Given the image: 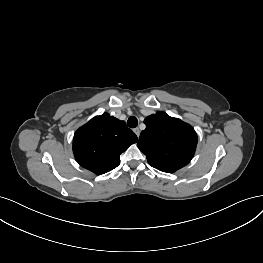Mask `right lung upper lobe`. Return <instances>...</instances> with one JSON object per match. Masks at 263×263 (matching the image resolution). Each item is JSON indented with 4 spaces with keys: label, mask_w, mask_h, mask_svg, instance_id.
Returning <instances> with one entry per match:
<instances>
[{
    "label": "right lung upper lobe",
    "mask_w": 263,
    "mask_h": 263,
    "mask_svg": "<svg viewBox=\"0 0 263 263\" xmlns=\"http://www.w3.org/2000/svg\"><path fill=\"white\" fill-rule=\"evenodd\" d=\"M137 140L124 121L104 113L75 132L73 152L82 167L101 175L116 168L121 153Z\"/></svg>",
    "instance_id": "1"
}]
</instances>
